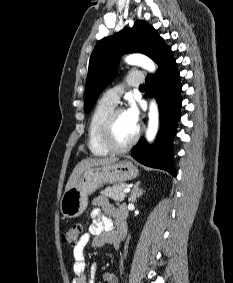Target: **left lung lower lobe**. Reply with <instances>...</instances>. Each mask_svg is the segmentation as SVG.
Instances as JSON below:
<instances>
[{"label":"left lung lower lobe","mask_w":233,"mask_h":283,"mask_svg":"<svg viewBox=\"0 0 233 283\" xmlns=\"http://www.w3.org/2000/svg\"><path fill=\"white\" fill-rule=\"evenodd\" d=\"M159 69L146 78L145 96H154L159 105L161 129L156 144L149 146L142 138L132 149L131 155L140 163L160 168L176 175L172 160V139L180 119L181 89L179 72L170 48L158 61Z\"/></svg>","instance_id":"left-lung-lower-lobe-1"}]
</instances>
